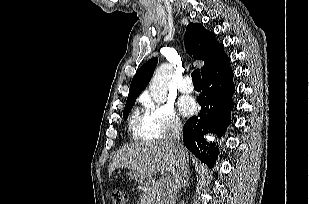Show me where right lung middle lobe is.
<instances>
[{
	"mask_svg": "<svg viewBox=\"0 0 309 204\" xmlns=\"http://www.w3.org/2000/svg\"><path fill=\"white\" fill-rule=\"evenodd\" d=\"M134 103H135V99H129V100L126 101V105H125V108H124V111H123V118H124V120L127 119L128 114L131 111Z\"/></svg>",
	"mask_w": 309,
	"mask_h": 204,
	"instance_id": "1",
	"label": "right lung middle lobe"
}]
</instances>
